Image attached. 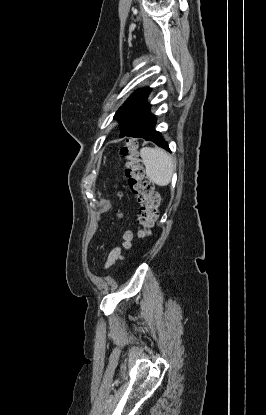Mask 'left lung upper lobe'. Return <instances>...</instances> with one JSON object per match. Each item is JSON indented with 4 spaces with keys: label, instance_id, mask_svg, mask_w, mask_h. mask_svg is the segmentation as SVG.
I'll use <instances>...</instances> for the list:
<instances>
[{
    "label": "left lung upper lobe",
    "instance_id": "obj_1",
    "mask_svg": "<svg viewBox=\"0 0 266 415\" xmlns=\"http://www.w3.org/2000/svg\"><path fill=\"white\" fill-rule=\"evenodd\" d=\"M150 88L135 91L116 112L114 119L120 120V137H136L155 131L156 118L150 113L147 102Z\"/></svg>",
    "mask_w": 266,
    "mask_h": 415
}]
</instances>
